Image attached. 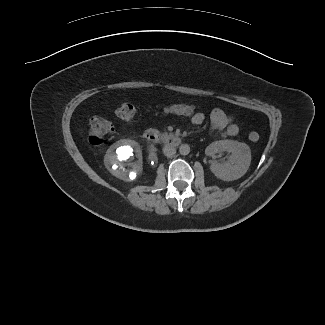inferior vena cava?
I'll return each instance as SVG.
<instances>
[{
	"label": "inferior vena cava",
	"instance_id": "obj_1",
	"mask_svg": "<svg viewBox=\"0 0 325 325\" xmlns=\"http://www.w3.org/2000/svg\"><path fill=\"white\" fill-rule=\"evenodd\" d=\"M163 152L167 157H173L176 153V149L172 146H164Z\"/></svg>",
	"mask_w": 325,
	"mask_h": 325
}]
</instances>
